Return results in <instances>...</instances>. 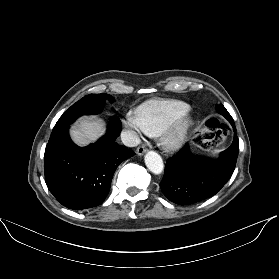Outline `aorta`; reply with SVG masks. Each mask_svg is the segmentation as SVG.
<instances>
[{
    "label": "aorta",
    "instance_id": "obj_1",
    "mask_svg": "<svg viewBox=\"0 0 279 279\" xmlns=\"http://www.w3.org/2000/svg\"><path fill=\"white\" fill-rule=\"evenodd\" d=\"M145 164L154 174H160L163 171L164 164L161 156L155 151H148L145 155Z\"/></svg>",
    "mask_w": 279,
    "mask_h": 279
}]
</instances>
